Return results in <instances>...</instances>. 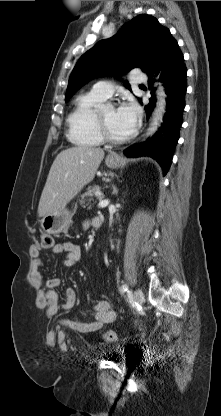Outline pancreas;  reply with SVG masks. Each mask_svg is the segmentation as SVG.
<instances>
[{
    "label": "pancreas",
    "instance_id": "1",
    "mask_svg": "<svg viewBox=\"0 0 221 416\" xmlns=\"http://www.w3.org/2000/svg\"><path fill=\"white\" fill-rule=\"evenodd\" d=\"M97 192H100V187H98V186H95V187H93L91 189H88V191L85 194L82 195V197H81L82 199H81L80 203L81 204H84L85 203V200H84L85 197H88V200L89 201L93 200V197L94 196L97 199L101 200L103 198V195L102 194L98 195ZM90 208L91 207H89V209Z\"/></svg>",
    "mask_w": 221,
    "mask_h": 416
}]
</instances>
